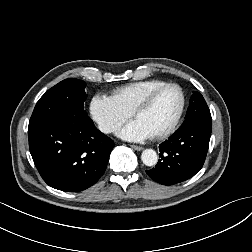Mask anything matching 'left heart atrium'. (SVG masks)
Masks as SVG:
<instances>
[{
    "label": "left heart atrium",
    "mask_w": 252,
    "mask_h": 252,
    "mask_svg": "<svg viewBox=\"0 0 252 252\" xmlns=\"http://www.w3.org/2000/svg\"><path fill=\"white\" fill-rule=\"evenodd\" d=\"M119 135L128 141H143L154 136L150 129L138 119L127 124Z\"/></svg>",
    "instance_id": "1"
}]
</instances>
